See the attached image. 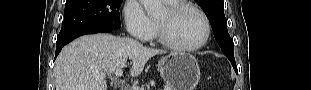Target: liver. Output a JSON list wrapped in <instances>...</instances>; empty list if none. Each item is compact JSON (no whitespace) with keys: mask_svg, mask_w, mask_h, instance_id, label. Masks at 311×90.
<instances>
[{"mask_svg":"<svg viewBox=\"0 0 311 90\" xmlns=\"http://www.w3.org/2000/svg\"><path fill=\"white\" fill-rule=\"evenodd\" d=\"M164 50L148 48L131 38L111 34L86 35L65 46L58 55L55 67L56 90H107L105 77L132 67L130 75L139 76L147 61Z\"/></svg>","mask_w":311,"mask_h":90,"instance_id":"obj_1","label":"liver"}]
</instances>
